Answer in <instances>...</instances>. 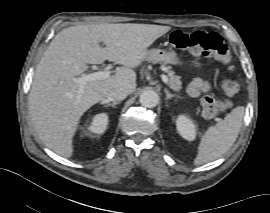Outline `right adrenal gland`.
Wrapping results in <instances>:
<instances>
[{
	"label": "right adrenal gland",
	"instance_id": "right-adrenal-gland-1",
	"mask_svg": "<svg viewBox=\"0 0 270 213\" xmlns=\"http://www.w3.org/2000/svg\"><path fill=\"white\" fill-rule=\"evenodd\" d=\"M120 102L117 101V102H113V103H107V100H104L101 102V104H104V107H113V108H116V105L119 104Z\"/></svg>",
	"mask_w": 270,
	"mask_h": 213
}]
</instances>
